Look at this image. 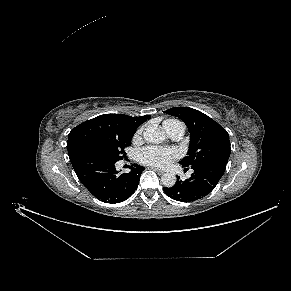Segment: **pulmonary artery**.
<instances>
[{
  "instance_id": "pulmonary-artery-1",
  "label": "pulmonary artery",
  "mask_w": 291,
  "mask_h": 291,
  "mask_svg": "<svg viewBox=\"0 0 291 291\" xmlns=\"http://www.w3.org/2000/svg\"><path fill=\"white\" fill-rule=\"evenodd\" d=\"M165 130L170 138L178 140L183 136L185 127L182 123H175L168 126Z\"/></svg>"
}]
</instances>
